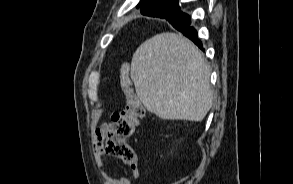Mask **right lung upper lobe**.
I'll return each mask as SVG.
<instances>
[{
  "label": "right lung upper lobe",
  "mask_w": 293,
  "mask_h": 184,
  "mask_svg": "<svg viewBox=\"0 0 293 184\" xmlns=\"http://www.w3.org/2000/svg\"><path fill=\"white\" fill-rule=\"evenodd\" d=\"M140 12L151 17L169 19L180 12V7L178 0H141Z\"/></svg>",
  "instance_id": "cb5924a9"
}]
</instances>
